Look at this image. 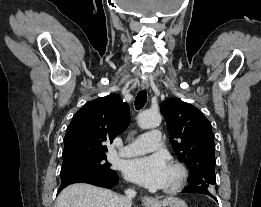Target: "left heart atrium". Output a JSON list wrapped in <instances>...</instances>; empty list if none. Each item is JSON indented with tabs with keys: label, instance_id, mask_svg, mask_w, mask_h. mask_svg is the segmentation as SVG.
Here are the masks:
<instances>
[{
	"label": "left heart atrium",
	"instance_id": "1",
	"mask_svg": "<svg viewBox=\"0 0 261 207\" xmlns=\"http://www.w3.org/2000/svg\"><path fill=\"white\" fill-rule=\"evenodd\" d=\"M168 165L161 154L134 158L124 165V174L129 180L147 188H162Z\"/></svg>",
	"mask_w": 261,
	"mask_h": 207
}]
</instances>
